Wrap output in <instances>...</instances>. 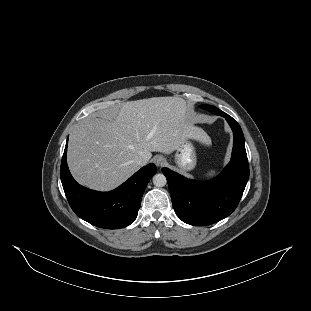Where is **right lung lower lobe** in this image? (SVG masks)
Segmentation results:
<instances>
[{
    "mask_svg": "<svg viewBox=\"0 0 311 311\" xmlns=\"http://www.w3.org/2000/svg\"><path fill=\"white\" fill-rule=\"evenodd\" d=\"M67 143L60 177L72 210L83 220L100 228L119 229L130 225L137 217L143 192L156 173V166L148 164L141 168L113 191H93L79 185L71 176L66 162Z\"/></svg>",
    "mask_w": 311,
    "mask_h": 311,
    "instance_id": "obj_1",
    "label": "right lung lower lobe"
}]
</instances>
